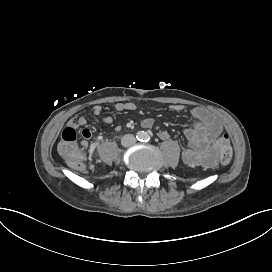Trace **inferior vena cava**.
<instances>
[{"label":"inferior vena cava","mask_w":272,"mask_h":272,"mask_svg":"<svg viewBox=\"0 0 272 272\" xmlns=\"http://www.w3.org/2000/svg\"><path fill=\"white\" fill-rule=\"evenodd\" d=\"M136 143V139L132 134H126L121 139V144L124 147H131Z\"/></svg>","instance_id":"obj_1"}]
</instances>
